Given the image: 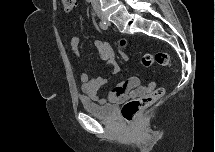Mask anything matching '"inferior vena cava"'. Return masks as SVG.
<instances>
[{"label":"inferior vena cava","instance_id":"1","mask_svg":"<svg viewBox=\"0 0 215 152\" xmlns=\"http://www.w3.org/2000/svg\"><path fill=\"white\" fill-rule=\"evenodd\" d=\"M92 4H93L94 6H97V5H98V0H92Z\"/></svg>","mask_w":215,"mask_h":152}]
</instances>
